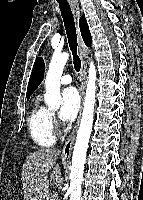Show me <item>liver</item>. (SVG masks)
<instances>
[{
	"label": "liver",
	"mask_w": 143,
	"mask_h": 200,
	"mask_svg": "<svg viewBox=\"0 0 143 200\" xmlns=\"http://www.w3.org/2000/svg\"><path fill=\"white\" fill-rule=\"evenodd\" d=\"M59 154L58 149L41 148L27 156L21 174L24 200H44L48 195L49 187L61 186V168L56 163ZM51 169L53 170L48 179L47 174Z\"/></svg>",
	"instance_id": "obj_1"
}]
</instances>
